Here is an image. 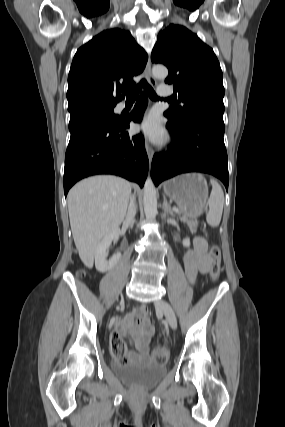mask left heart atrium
<instances>
[{
  "instance_id": "left-heart-atrium-1",
  "label": "left heart atrium",
  "mask_w": 285,
  "mask_h": 427,
  "mask_svg": "<svg viewBox=\"0 0 285 427\" xmlns=\"http://www.w3.org/2000/svg\"><path fill=\"white\" fill-rule=\"evenodd\" d=\"M136 130L156 142H160L165 138V132L161 128L159 120L155 115L146 117L137 125Z\"/></svg>"
}]
</instances>
